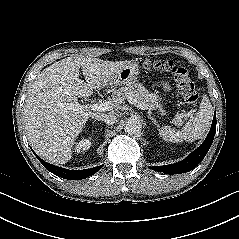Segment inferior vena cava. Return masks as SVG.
<instances>
[{
	"label": "inferior vena cava",
	"instance_id": "1",
	"mask_svg": "<svg viewBox=\"0 0 239 239\" xmlns=\"http://www.w3.org/2000/svg\"><path fill=\"white\" fill-rule=\"evenodd\" d=\"M95 120L104 121L108 125H112L116 122V116L113 114H94L92 116Z\"/></svg>",
	"mask_w": 239,
	"mask_h": 239
}]
</instances>
